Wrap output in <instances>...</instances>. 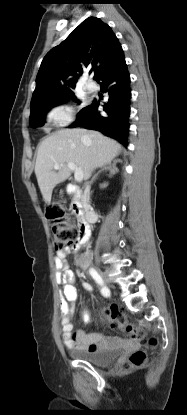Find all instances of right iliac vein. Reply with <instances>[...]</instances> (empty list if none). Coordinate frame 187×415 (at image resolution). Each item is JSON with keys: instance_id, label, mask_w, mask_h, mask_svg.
Here are the masks:
<instances>
[{"instance_id": "1", "label": "right iliac vein", "mask_w": 187, "mask_h": 415, "mask_svg": "<svg viewBox=\"0 0 187 415\" xmlns=\"http://www.w3.org/2000/svg\"><path fill=\"white\" fill-rule=\"evenodd\" d=\"M97 271L100 274V276H101L103 282L105 283V285H107L108 287H110L111 286V282H110V279L108 278V276L105 273H103L100 269H97Z\"/></svg>"}]
</instances>
